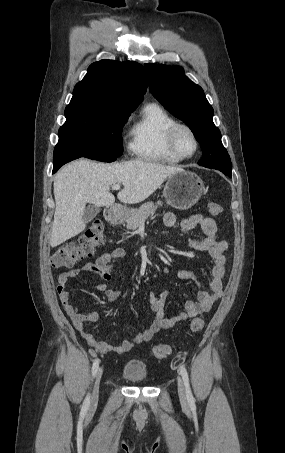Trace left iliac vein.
<instances>
[{
  "mask_svg": "<svg viewBox=\"0 0 285 453\" xmlns=\"http://www.w3.org/2000/svg\"><path fill=\"white\" fill-rule=\"evenodd\" d=\"M177 389H178V395H179L181 403L186 404L187 397H186V393L184 390L183 381L180 377L177 378Z\"/></svg>",
  "mask_w": 285,
  "mask_h": 453,
  "instance_id": "obj_1",
  "label": "left iliac vein"
}]
</instances>
